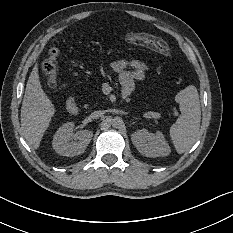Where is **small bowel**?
Wrapping results in <instances>:
<instances>
[{
  "mask_svg": "<svg viewBox=\"0 0 233 233\" xmlns=\"http://www.w3.org/2000/svg\"><path fill=\"white\" fill-rule=\"evenodd\" d=\"M111 68L118 74L123 98H128L133 93L135 82L143 81L146 77L147 66L137 59H117L111 63Z\"/></svg>",
  "mask_w": 233,
  "mask_h": 233,
  "instance_id": "obj_1",
  "label": "small bowel"
}]
</instances>
